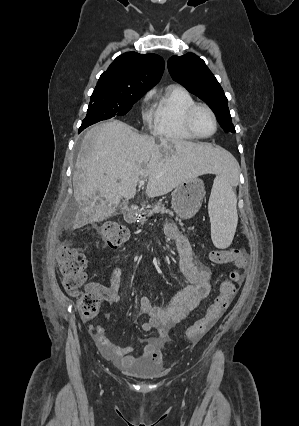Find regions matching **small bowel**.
Wrapping results in <instances>:
<instances>
[{
	"label": "small bowel",
	"mask_w": 299,
	"mask_h": 426,
	"mask_svg": "<svg viewBox=\"0 0 299 426\" xmlns=\"http://www.w3.org/2000/svg\"><path fill=\"white\" fill-rule=\"evenodd\" d=\"M164 231L167 238L175 242L183 288L164 307L154 306L149 296L140 298L141 312L148 317L141 328L146 332L154 331L155 335L145 339V346L140 354L133 355V347L114 344L106 337L102 327L97 326L94 329V337L102 355L121 368L140 363L159 364L171 326L183 320L210 292L211 271L205 265L194 261L189 240L173 224L166 225ZM120 277V269L112 267L107 274L108 286L93 284L91 287L100 293L108 305H114L120 299Z\"/></svg>",
	"instance_id": "1"
}]
</instances>
